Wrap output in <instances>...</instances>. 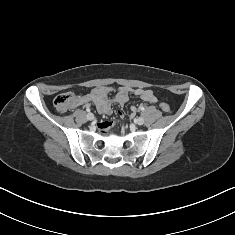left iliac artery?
Listing matches in <instances>:
<instances>
[{
    "label": "left iliac artery",
    "mask_w": 235,
    "mask_h": 235,
    "mask_svg": "<svg viewBox=\"0 0 235 235\" xmlns=\"http://www.w3.org/2000/svg\"><path fill=\"white\" fill-rule=\"evenodd\" d=\"M144 109H145V108H144L143 106H140V107H139V110H140V111H144Z\"/></svg>",
    "instance_id": "1"
}]
</instances>
